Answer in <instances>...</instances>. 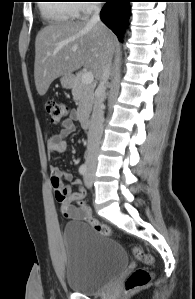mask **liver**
Here are the masks:
<instances>
[{
	"label": "liver",
	"mask_w": 195,
	"mask_h": 299,
	"mask_svg": "<svg viewBox=\"0 0 195 299\" xmlns=\"http://www.w3.org/2000/svg\"><path fill=\"white\" fill-rule=\"evenodd\" d=\"M115 44V35L102 23L68 21L44 27L35 40L34 79L38 94L45 95L56 78L71 75L82 66L101 77Z\"/></svg>",
	"instance_id": "6515ba94"
}]
</instances>
